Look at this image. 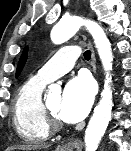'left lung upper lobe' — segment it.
Here are the masks:
<instances>
[{
	"mask_svg": "<svg viewBox=\"0 0 131 151\" xmlns=\"http://www.w3.org/2000/svg\"><path fill=\"white\" fill-rule=\"evenodd\" d=\"M26 59H27V48L24 49V51H23V53L21 55V58L19 60V63H18V66H17V70H16V77H18V75L22 71V69H23V67L25 65Z\"/></svg>",
	"mask_w": 131,
	"mask_h": 151,
	"instance_id": "left-lung-upper-lobe-1",
	"label": "left lung upper lobe"
}]
</instances>
